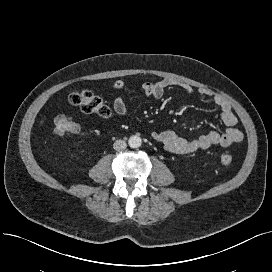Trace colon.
<instances>
[{
    "mask_svg": "<svg viewBox=\"0 0 272 272\" xmlns=\"http://www.w3.org/2000/svg\"><path fill=\"white\" fill-rule=\"evenodd\" d=\"M68 101L74 106H78L83 112L95 114L100 117L110 116L109 106L98 96L88 90L73 92L68 96ZM80 131V125L66 115H58L53 120V132L56 135L75 134ZM234 158L230 154H222L220 162L229 166Z\"/></svg>",
    "mask_w": 272,
    "mask_h": 272,
    "instance_id": "obj_1",
    "label": "colon"
}]
</instances>
